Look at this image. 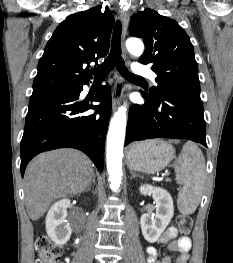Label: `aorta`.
Listing matches in <instances>:
<instances>
[{
	"label": "aorta",
	"instance_id": "aorta-1",
	"mask_svg": "<svg viewBox=\"0 0 233 263\" xmlns=\"http://www.w3.org/2000/svg\"><path fill=\"white\" fill-rule=\"evenodd\" d=\"M128 51L134 56H140L144 45L138 38L126 41ZM126 105L118 108L111 119L107 135V171L110 178V188L117 192L122 181V157L127 123Z\"/></svg>",
	"mask_w": 233,
	"mask_h": 263
}]
</instances>
